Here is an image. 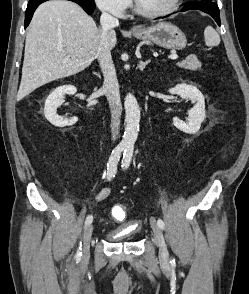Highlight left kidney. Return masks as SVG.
Returning a JSON list of instances; mask_svg holds the SVG:
<instances>
[{
  "label": "left kidney",
  "instance_id": "5707ae66",
  "mask_svg": "<svg viewBox=\"0 0 249 294\" xmlns=\"http://www.w3.org/2000/svg\"><path fill=\"white\" fill-rule=\"evenodd\" d=\"M169 93L177 94L183 99H189L195 105L189 112V117L186 122L180 120L177 117L173 118V124L179 130L194 134L199 131L201 123L205 119V100L202 93L197 89V87L188 84H178L174 88L169 89Z\"/></svg>",
  "mask_w": 249,
  "mask_h": 294
}]
</instances>
